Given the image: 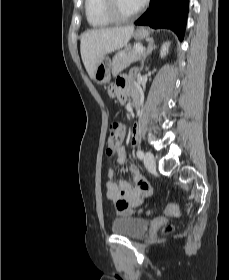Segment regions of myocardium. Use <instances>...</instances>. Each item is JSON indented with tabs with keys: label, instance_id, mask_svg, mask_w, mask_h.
I'll list each match as a JSON object with an SVG mask.
<instances>
[{
	"label": "myocardium",
	"instance_id": "f54148a6",
	"mask_svg": "<svg viewBox=\"0 0 229 280\" xmlns=\"http://www.w3.org/2000/svg\"><path fill=\"white\" fill-rule=\"evenodd\" d=\"M143 6L139 7L131 14H123L117 4V0H104L103 3V12L106 17H108L111 21L117 23L128 22L139 15Z\"/></svg>",
	"mask_w": 229,
	"mask_h": 280
}]
</instances>
